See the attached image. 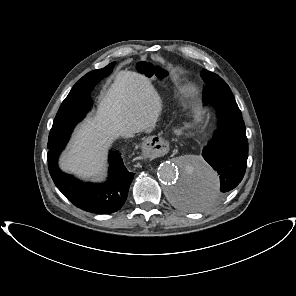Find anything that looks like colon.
<instances>
[{
  "mask_svg": "<svg viewBox=\"0 0 296 296\" xmlns=\"http://www.w3.org/2000/svg\"><path fill=\"white\" fill-rule=\"evenodd\" d=\"M138 72L149 79L163 82L167 78V72L159 67L146 62H140L136 66Z\"/></svg>",
  "mask_w": 296,
  "mask_h": 296,
  "instance_id": "obj_1",
  "label": "colon"
}]
</instances>
